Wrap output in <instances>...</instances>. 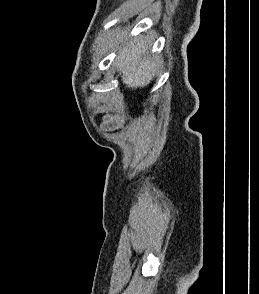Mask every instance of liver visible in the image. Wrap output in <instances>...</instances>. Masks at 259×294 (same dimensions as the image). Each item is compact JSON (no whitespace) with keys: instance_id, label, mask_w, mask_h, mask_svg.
Here are the masks:
<instances>
[{"instance_id":"6515ba94","label":"liver","mask_w":259,"mask_h":294,"mask_svg":"<svg viewBox=\"0 0 259 294\" xmlns=\"http://www.w3.org/2000/svg\"><path fill=\"white\" fill-rule=\"evenodd\" d=\"M118 42L111 40L114 47L126 38L127 33H116ZM122 81L127 87L138 88L147 86L155 76L157 62L155 57L148 55L146 41L135 38L128 42L118 53L115 59Z\"/></svg>"}]
</instances>
